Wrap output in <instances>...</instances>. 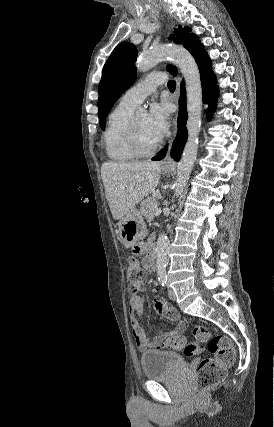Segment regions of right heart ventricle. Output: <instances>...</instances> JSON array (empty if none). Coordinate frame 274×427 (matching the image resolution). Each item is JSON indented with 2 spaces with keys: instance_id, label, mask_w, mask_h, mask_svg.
I'll use <instances>...</instances> for the list:
<instances>
[{
  "instance_id": "right-heart-ventricle-1",
  "label": "right heart ventricle",
  "mask_w": 274,
  "mask_h": 427,
  "mask_svg": "<svg viewBox=\"0 0 274 427\" xmlns=\"http://www.w3.org/2000/svg\"><path fill=\"white\" fill-rule=\"evenodd\" d=\"M134 108L118 104L110 116L109 126L104 134V149L109 160L128 163L137 157L129 149L127 132Z\"/></svg>"
}]
</instances>
